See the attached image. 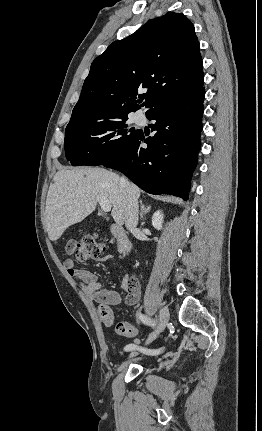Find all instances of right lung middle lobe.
Instances as JSON below:
<instances>
[{
  "instance_id": "obj_1",
  "label": "right lung middle lobe",
  "mask_w": 262,
  "mask_h": 431,
  "mask_svg": "<svg viewBox=\"0 0 262 431\" xmlns=\"http://www.w3.org/2000/svg\"><path fill=\"white\" fill-rule=\"evenodd\" d=\"M127 115L67 125L65 155L73 166L102 165L113 160L138 135L128 127Z\"/></svg>"
}]
</instances>
